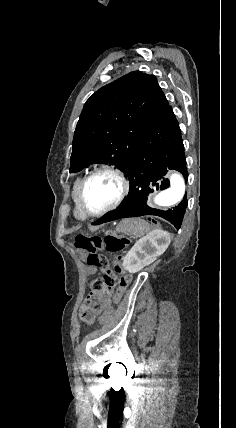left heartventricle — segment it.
<instances>
[{
    "instance_id": "b2bd125f",
    "label": "left heart ventricle",
    "mask_w": 236,
    "mask_h": 428,
    "mask_svg": "<svg viewBox=\"0 0 236 428\" xmlns=\"http://www.w3.org/2000/svg\"><path fill=\"white\" fill-rule=\"evenodd\" d=\"M121 192L119 180L109 174H101L92 178L85 187V201L91 210H102L118 198Z\"/></svg>"
}]
</instances>
